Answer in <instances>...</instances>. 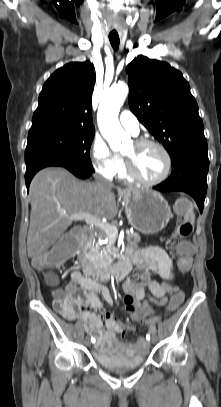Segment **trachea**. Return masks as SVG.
<instances>
[{
  "mask_svg": "<svg viewBox=\"0 0 221 407\" xmlns=\"http://www.w3.org/2000/svg\"><path fill=\"white\" fill-rule=\"evenodd\" d=\"M109 40L111 43V46L113 47L114 50H118L120 39L118 36H109Z\"/></svg>",
  "mask_w": 221,
  "mask_h": 407,
  "instance_id": "3493384b",
  "label": "trachea"
}]
</instances>
